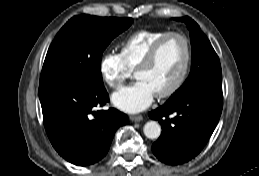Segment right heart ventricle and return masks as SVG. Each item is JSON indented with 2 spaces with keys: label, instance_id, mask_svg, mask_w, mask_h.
I'll return each mask as SVG.
<instances>
[{
  "label": "right heart ventricle",
  "instance_id": "1",
  "mask_svg": "<svg viewBox=\"0 0 259 176\" xmlns=\"http://www.w3.org/2000/svg\"><path fill=\"white\" fill-rule=\"evenodd\" d=\"M168 31L140 30L131 34L122 44L120 55L130 71L136 69L152 45Z\"/></svg>",
  "mask_w": 259,
  "mask_h": 176
}]
</instances>
